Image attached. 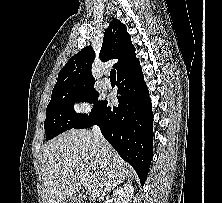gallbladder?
<instances>
[{
  "mask_svg": "<svg viewBox=\"0 0 222 203\" xmlns=\"http://www.w3.org/2000/svg\"><path fill=\"white\" fill-rule=\"evenodd\" d=\"M60 203H81V200L78 196H74L72 198H66L62 200Z\"/></svg>",
  "mask_w": 222,
  "mask_h": 203,
  "instance_id": "1",
  "label": "gallbladder"
}]
</instances>
